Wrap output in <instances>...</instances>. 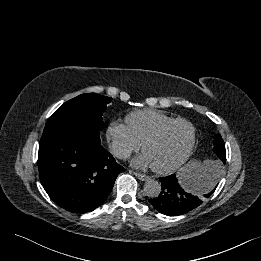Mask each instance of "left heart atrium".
<instances>
[{
    "label": "left heart atrium",
    "instance_id": "obj_1",
    "mask_svg": "<svg viewBox=\"0 0 261 261\" xmlns=\"http://www.w3.org/2000/svg\"><path fill=\"white\" fill-rule=\"evenodd\" d=\"M132 163L136 167L152 166L150 158L146 153H143L142 155L136 157Z\"/></svg>",
    "mask_w": 261,
    "mask_h": 261
}]
</instances>
